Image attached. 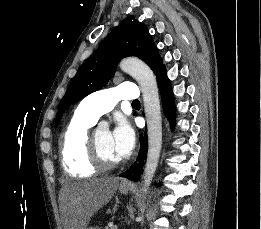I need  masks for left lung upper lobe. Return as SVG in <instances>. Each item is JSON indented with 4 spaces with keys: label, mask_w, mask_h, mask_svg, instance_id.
Segmentation results:
<instances>
[{
    "label": "left lung upper lobe",
    "mask_w": 261,
    "mask_h": 229,
    "mask_svg": "<svg viewBox=\"0 0 261 229\" xmlns=\"http://www.w3.org/2000/svg\"><path fill=\"white\" fill-rule=\"evenodd\" d=\"M128 56L142 59L156 76L165 70L147 26L134 17H127L108 34L97 51L81 65L73 77L59 104L56 126L69 106L104 87L113 77L117 63Z\"/></svg>",
    "instance_id": "5c2ea615"
}]
</instances>
